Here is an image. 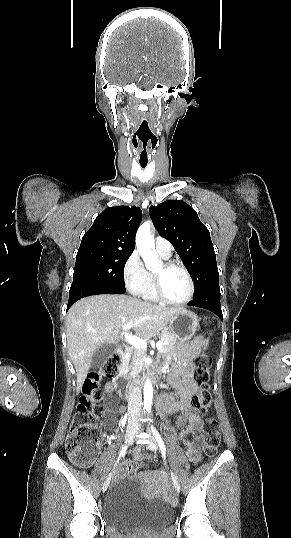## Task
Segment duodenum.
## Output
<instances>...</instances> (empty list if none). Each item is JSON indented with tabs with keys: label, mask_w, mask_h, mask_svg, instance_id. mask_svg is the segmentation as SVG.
Instances as JSON below:
<instances>
[{
	"label": "duodenum",
	"mask_w": 291,
	"mask_h": 538,
	"mask_svg": "<svg viewBox=\"0 0 291 538\" xmlns=\"http://www.w3.org/2000/svg\"><path fill=\"white\" fill-rule=\"evenodd\" d=\"M129 352L130 350L128 347H120L118 350V353L122 358H126ZM146 377L154 379V382H161V374L151 372L150 374H146ZM114 381L117 382V396L128 398L134 394V387L131 378L124 377V373L119 372L117 374V377L114 378ZM137 386L139 388H142L144 386V383L142 381H139L137 383ZM155 386H158V383H155Z\"/></svg>",
	"instance_id": "duodenum-1"
}]
</instances>
